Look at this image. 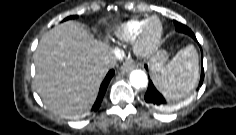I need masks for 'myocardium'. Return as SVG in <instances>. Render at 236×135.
Masks as SVG:
<instances>
[{
  "instance_id": "myocardium-1",
  "label": "myocardium",
  "mask_w": 236,
  "mask_h": 135,
  "mask_svg": "<svg viewBox=\"0 0 236 135\" xmlns=\"http://www.w3.org/2000/svg\"><path fill=\"white\" fill-rule=\"evenodd\" d=\"M155 23L156 31L150 33V25ZM164 35V27L160 18L156 15L147 17L134 40L133 49L136 55L147 58L152 56L160 47Z\"/></svg>"
}]
</instances>
